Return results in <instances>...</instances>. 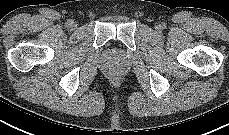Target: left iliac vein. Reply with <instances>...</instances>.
Listing matches in <instances>:
<instances>
[{"mask_svg":"<svg viewBox=\"0 0 229 135\" xmlns=\"http://www.w3.org/2000/svg\"><path fill=\"white\" fill-rule=\"evenodd\" d=\"M156 29H161V26H160V25H157V26H156Z\"/></svg>","mask_w":229,"mask_h":135,"instance_id":"4c4485c4","label":"left iliac vein"}]
</instances>
